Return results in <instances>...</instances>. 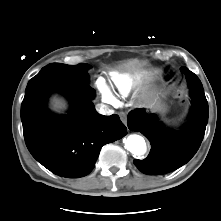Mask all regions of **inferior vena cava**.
Masks as SVG:
<instances>
[{
	"instance_id": "obj_1",
	"label": "inferior vena cava",
	"mask_w": 221,
	"mask_h": 221,
	"mask_svg": "<svg viewBox=\"0 0 221 221\" xmlns=\"http://www.w3.org/2000/svg\"><path fill=\"white\" fill-rule=\"evenodd\" d=\"M97 110L100 114H103V115L112 114V110L109 109V107L107 105L97 104Z\"/></svg>"
}]
</instances>
